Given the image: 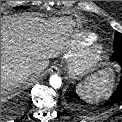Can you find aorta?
<instances>
[{"mask_svg":"<svg viewBox=\"0 0 122 122\" xmlns=\"http://www.w3.org/2000/svg\"><path fill=\"white\" fill-rule=\"evenodd\" d=\"M50 85L53 87V88H55V89H58V88H60L61 87V85H62V80H61V78L58 76V75H52L51 77H50Z\"/></svg>","mask_w":122,"mask_h":122,"instance_id":"1","label":"aorta"}]
</instances>
